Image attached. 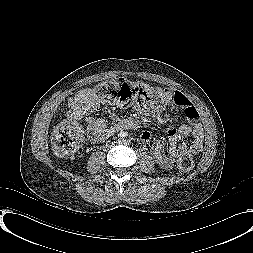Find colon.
Listing matches in <instances>:
<instances>
[{"mask_svg":"<svg viewBox=\"0 0 253 253\" xmlns=\"http://www.w3.org/2000/svg\"><path fill=\"white\" fill-rule=\"evenodd\" d=\"M96 97L104 103L131 106L137 109H150L171 100L167 88L151 87L143 83H130L125 80L105 81L94 89ZM81 127L71 121L59 124L52 136V147L56 154L68 156L76 153L83 142ZM177 165L182 171L193 168L194 161L190 153L183 151L179 154Z\"/></svg>","mask_w":253,"mask_h":253,"instance_id":"colon-1","label":"colon"}]
</instances>
